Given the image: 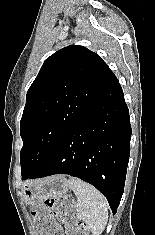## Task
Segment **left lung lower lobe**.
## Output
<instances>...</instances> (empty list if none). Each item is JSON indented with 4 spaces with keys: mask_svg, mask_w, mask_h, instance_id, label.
Returning <instances> with one entry per match:
<instances>
[{
    "mask_svg": "<svg viewBox=\"0 0 155 235\" xmlns=\"http://www.w3.org/2000/svg\"><path fill=\"white\" fill-rule=\"evenodd\" d=\"M130 139L129 111L114 76L45 165L24 180L54 174L78 177L96 187L115 214L124 191Z\"/></svg>",
    "mask_w": 155,
    "mask_h": 235,
    "instance_id": "1",
    "label": "left lung lower lobe"
}]
</instances>
